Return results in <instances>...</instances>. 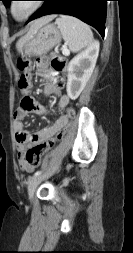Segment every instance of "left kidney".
I'll return each mask as SVG.
<instances>
[{
    "mask_svg": "<svg viewBox=\"0 0 133 253\" xmlns=\"http://www.w3.org/2000/svg\"><path fill=\"white\" fill-rule=\"evenodd\" d=\"M99 54V43H92L84 52L74 57L67 67V94L75 100L90 79Z\"/></svg>",
    "mask_w": 133,
    "mask_h": 253,
    "instance_id": "left-kidney-1",
    "label": "left kidney"
}]
</instances>
